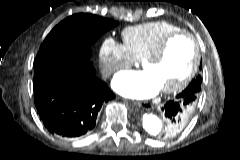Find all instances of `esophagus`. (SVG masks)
Wrapping results in <instances>:
<instances>
[{
	"instance_id": "1",
	"label": "esophagus",
	"mask_w": 240,
	"mask_h": 160,
	"mask_svg": "<svg viewBox=\"0 0 240 160\" xmlns=\"http://www.w3.org/2000/svg\"><path fill=\"white\" fill-rule=\"evenodd\" d=\"M136 104L141 105V102H136Z\"/></svg>"
}]
</instances>
